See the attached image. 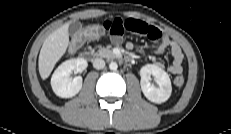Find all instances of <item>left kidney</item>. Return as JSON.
<instances>
[{"label":"left kidney","mask_w":231,"mask_h":134,"mask_svg":"<svg viewBox=\"0 0 231 134\" xmlns=\"http://www.w3.org/2000/svg\"><path fill=\"white\" fill-rule=\"evenodd\" d=\"M151 75L157 86L151 84ZM141 89L145 97L151 102L160 104L169 99L172 92L169 75L155 64H147L140 69Z\"/></svg>","instance_id":"left-kidney-1"}]
</instances>
